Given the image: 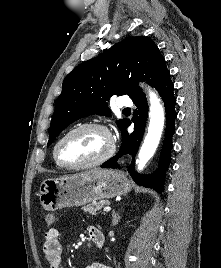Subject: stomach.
Segmentation results:
<instances>
[{
	"label": "stomach",
	"mask_w": 221,
	"mask_h": 268,
	"mask_svg": "<svg viewBox=\"0 0 221 268\" xmlns=\"http://www.w3.org/2000/svg\"><path fill=\"white\" fill-rule=\"evenodd\" d=\"M130 190L131 184L124 173L93 169L74 176L45 180L40 185L38 196L46 211H56L125 195Z\"/></svg>",
	"instance_id": "1"
}]
</instances>
